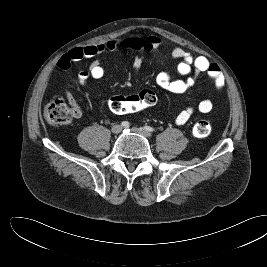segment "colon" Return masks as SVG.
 <instances>
[{"label": "colon", "mask_w": 267, "mask_h": 267, "mask_svg": "<svg viewBox=\"0 0 267 267\" xmlns=\"http://www.w3.org/2000/svg\"><path fill=\"white\" fill-rule=\"evenodd\" d=\"M157 101L156 94L145 89L134 95H115L109 99V107L116 114H132L144 111ZM74 112L63 100L54 99L44 109V117L51 125H65L72 121ZM211 124L207 120L197 121L193 128V135L204 138L211 133Z\"/></svg>", "instance_id": "obj_1"}]
</instances>
